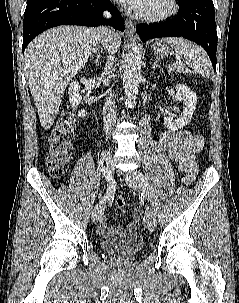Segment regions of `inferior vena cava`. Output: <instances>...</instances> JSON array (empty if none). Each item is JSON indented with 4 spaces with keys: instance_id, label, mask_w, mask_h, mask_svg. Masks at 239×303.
Instances as JSON below:
<instances>
[{
    "instance_id": "obj_1",
    "label": "inferior vena cava",
    "mask_w": 239,
    "mask_h": 303,
    "mask_svg": "<svg viewBox=\"0 0 239 303\" xmlns=\"http://www.w3.org/2000/svg\"><path fill=\"white\" fill-rule=\"evenodd\" d=\"M104 17L110 18V13L104 12ZM98 33V42L103 44V46L108 49V59L105 65L104 71L102 73V77H106L107 79L104 80V83L108 85L109 78L111 77L112 67L114 65V56L115 52L109 49V39L111 37L112 31L107 27H99L97 29ZM116 121V111H115V101L113 99V95L109 90V97L106 98L104 106H103V123H104V130L106 134L112 130L113 126L115 125Z\"/></svg>"
}]
</instances>
